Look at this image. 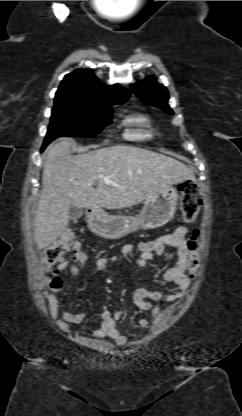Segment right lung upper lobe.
Here are the masks:
<instances>
[{
	"mask_svg": "<svg viewBox=\"0 0 242 416\" xmlns=\"http://www.w3.org/2000/svg\"><path fill=\"white\" fill-rule=\"evenodd\" d=\"M130 93L119 85L104 88L89 71L77 69L62 80L55 101L112 102L126 101Z\"/></svg>",
	"mask_w": 242,
	"mask_h": 416,
	"instance_id": "obj_1",
	"label": "right lung upper lobe"
}]
</instances>
